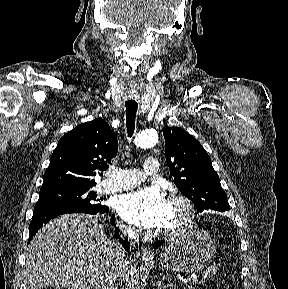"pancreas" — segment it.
I'll list each match as a JSON object with an SVG mask.
<instances>
[{
    "instance_id": "cf45deb5",
    "label": "pancreas",
    "mask_w": 288,
    "mask_h": 289,
    "mask_svg": "<svg viewBox=\"0 0 288 289\" xmlns=\"http://www.w3.org/2000/svg\"><path fill=\"white\" fill-rule=\"evenodd\" d=\"M205 273H207V277H204V278H211V276L213 275L214 271L209 268L208 270L205 271Z\"/></svg>"
}]
</instances>
